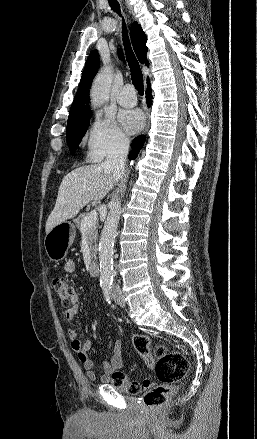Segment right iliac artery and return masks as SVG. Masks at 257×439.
<instances>
[{
  "instance_id": "82829eb1",
  "label": "right iliac artery",
  "mask_w": 257,
  "mask_h": 439,
  "mask_svg": "<svg viewBox=\"0 0 257 439\" xmlns=\"http://www.w3.org/2000/svg\"><path fill=\"white\" fill-rule=\"evenodd\" d=\"M102 289H103V293H104V296H105V298H106V301H108V303H110L111 301H110V298H111V286L110 285H103L102 286Z\"/></svg>"
}]
</instances>
